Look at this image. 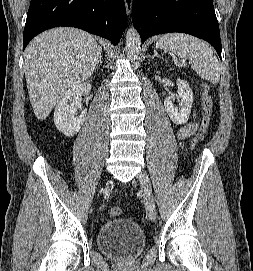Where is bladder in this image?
<instances>
[{
    "mask_svg": "<svg viewBox=\"0 0 253 271\" xmlns=\"http://www.w3.org/2000/svg\"><path fill=\"white\" fill-rule=\"evenodd\" d=\"M98 249L117 260H131L145 249L147 239L144 231L133 220L115 219L104 223L96 233Z\"/></svg>",
    "mask_w": 253,
    "mask_h": 271,
    "instance_id": "31cf9c89",
    "label": "bladder"
}]
</instances>
